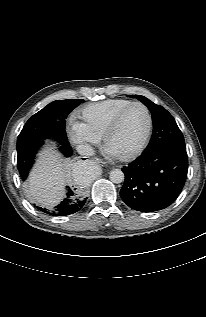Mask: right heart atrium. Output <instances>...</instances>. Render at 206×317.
Returning <instances> with one entry per match:
<instances>
[{"label":"right heart atrium","mask_w":206,"mask_h":317,"mask_svg":"<svg viewBox=\"0 0 206 317\" xmlns=\"http://www.w3.org/2000/svg\"><path fill=\"white\" fill-rule=\"evenodd\" d=\"M67 131L70 140L76 145L91 146L99 140L81 122L70 121Z\"/></svg>","instance_id":"right-heart-atrium-1"}]
</instances>
